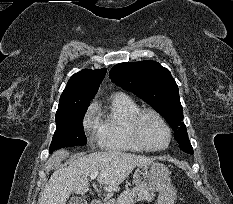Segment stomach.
Here are the masks:
<instances>
[{
  "label": "stomach",
  "instance_id": "stomach-1",
  "mask_svg": "<svg viewBox=\"0 0 233 204\" xmlns=\"http://www.w3.org/2000/svg\"><path fill=\"white\" fill-rule=\"evenodd\" d=\"M137 187L159 192L158 204H174L176 191L171 185L170 172L159 162H149L137 167L133 175Z\"/></svg>",
  "mask_w": 233,
  "mask_h": 204
}]
</instances>
